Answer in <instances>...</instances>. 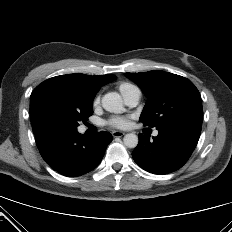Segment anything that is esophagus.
I'll return each instance as SVG.
<instances>
[{
  "instance_id": "obj_1",
  "label": "esophagus",
  "mask_w": 232,
  "mask_h": 232,
  "mask_svg": "<svg viewBox=\"0 0 232 232\" xmlns=\"http://www.w3.org/2000/svg\"><path fill=\"white\" fill-rule=\"evenodd\" d=\"M125 133L122 131H113L112 136L113 137H122Z\"/></svg>"
}]
</instances>
